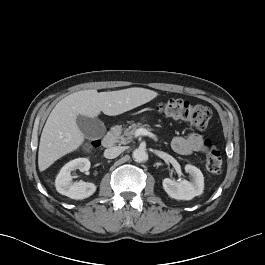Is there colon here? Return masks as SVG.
<instances>
[{"label":"colon","mask_w":265,"mask_h":265,"mask_svg":"<svg viewBox=\"0 0 265 265\" xmlns=\"http://www.w3.org/2000/svg\"><path fill=\"white\" fill-rule=\"evenodd\" d=\"M158 110L167 117L189 122L197 128H205L211 119V110L202 105H192L180 99H171L158 105ZM98 146L97 141L90 143L91 148ZM206 168L212 174L220 172L222 158L218 146L212 141L206 142Z\"/></svg>","instance_id":"5ec220e1"}]
</instances>
